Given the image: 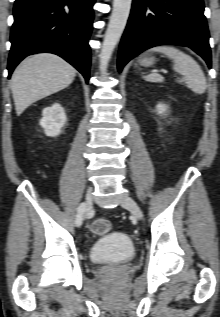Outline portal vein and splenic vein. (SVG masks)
Instances as JSON below:
<instances>
[{"instance_id":"1","label":"portal vein and splenic vein","mask_w":220,"mask_h":317,"mask_svg":"<svg viewBox=\"0 0 220 317\" xmlns=\"http://www.w3.org/2000/svg\"><path fill=\"white\" fill-rule=\"evenodd\" d=\"M162 72H163V73H167V71H166V70H162Z\"/></svg>"}]
</instances>
